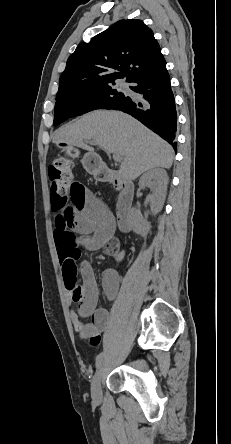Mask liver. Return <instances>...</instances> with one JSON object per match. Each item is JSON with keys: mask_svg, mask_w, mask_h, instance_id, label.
I'll use <instances>...</instances> for the list:
<instances>
[{"mask_svg": "<svg viewBox=\"0 0 231 444\" xmlns=\"http://www.w3.org/2000/svg\"><path fill=\"white\" fill-rule=\"evenodd\" d=\"M94 140L109 153L121 156L120 174L134 180L157 167L170 168L174 151L170 144L133 117L120 111H93L54 133L53 142H66L95 154L85 144Z\"/></svg>", "mask_w": 231, "mask_h": 444, "instance_id": "1", "label": "liver"}]
</instances>
